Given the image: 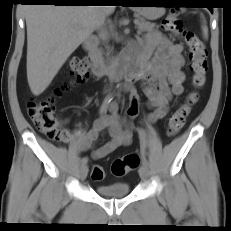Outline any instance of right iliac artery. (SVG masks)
<instances>
[{
    "label": "right iliac artery",
    "mask_w": 231,
    "mask_h": 231,
    "mask_svg": "<svg viewBox=\"0 0 231 231\" xmlns=\"http://www.w3.org/2000/svg\"><path fill=\"white\" fill-rule=\"evenodd\" d=\"M113 97H114V93H109L105 97V99H104V101H103V103H102V105L100 107V117H103L104 115H106L108 105H109L110 101L113 99ZM87 162H88L87 157L82 158V160H81L82 165H86Z\"/></svg>",
    "instance_id": "1"
}]
</instances>
